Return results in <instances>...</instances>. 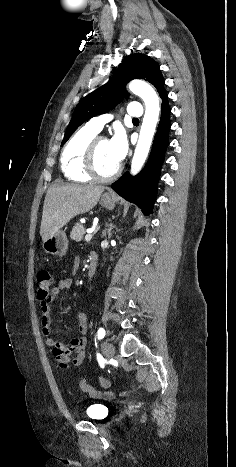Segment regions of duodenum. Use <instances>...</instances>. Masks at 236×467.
I'll list each match as a JSON object with an SVG mask.
<instances>
[{
    "mask_svg": "<svg viewBox=\"0 0 236 467\" xmlns=\"http://www.w3.org/2000/svg\"><path fill=\"white\" fill-rule=\"evenodd\" d=\"M97 272V262L94 259H91L87 269V275L89 277H94Z\"/></svg>",
    "mask_w": 236,
    "mask_h": 467,
    "instance_id": "410a0bca",
    "label": "duodenum"
}]
</instances>
